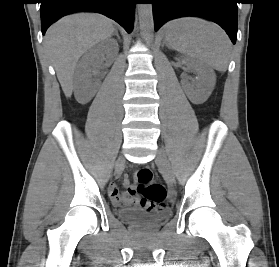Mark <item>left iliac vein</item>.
Instances as JSON below:
<instances>
[{"mask_svg": "<svg viewBox=\"0 0 279 267\" xmlns=\"http://www.w3.org/2000/svg\"><path fill=\"white\" fill-rule=\"evenodd\" d=\"M156 162L160 166V168H161V170L163 172V175L166 178L168 184L170 186L174 185V183H175V176H174V172H173L172 166H171L169 160L167 159L164 151L161 150V149H159L157 151Z\"/></svg>", "mask_w": 279, "mask_h": 267, "instance_id": "4c4485c4", "label": "left iliac vein"}]
</instances>
